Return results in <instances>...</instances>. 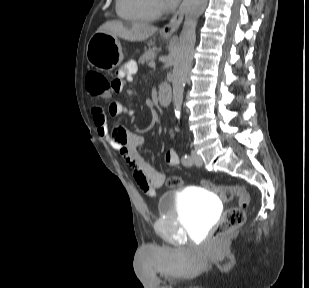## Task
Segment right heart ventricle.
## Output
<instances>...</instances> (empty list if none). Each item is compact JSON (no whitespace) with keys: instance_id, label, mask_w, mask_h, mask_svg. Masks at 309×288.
<instances>
[{"instance_id":"obj_1","label":"right heart ventricle","mask_w":309,"mask_h":288,"mask_svg":"<svg viewBox=\"0 0 309 288\" xmlns=\"http://www.w3.org/2000/svg\"><path fill=\"white\" fill-rule=\"evenodd\" d=\"M118 15L131 22H152L159 15L157 0H116Z\"/></svg>"}]
</instances>
